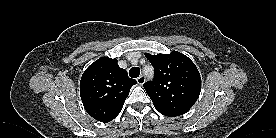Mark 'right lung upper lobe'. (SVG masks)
Returning a JSON list of instances; mask_svg holds the SVG:
<instances>
[{
	"mask_svg": "<svg viewBox=\"0 0 276 138\" xmlns=\"http://www.w3.org/2000/svg\"><path fill=\"white\" fill-rule=\"evenodd\" d=\"M117 59L101 57L83 73L80 96L87 113L101 122L112 121L122 110L136 80L128 77Z\"/></svg>",
	"mask_w": 276,
	"mask_h": 138,
	"instance_id": "obj_1",
	"label": "right lung upper lobe"
}]
</instances>
